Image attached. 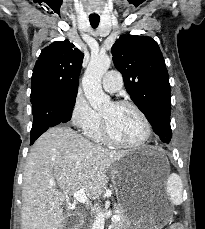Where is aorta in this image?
Instances as JSON below:
<instances>
[{
  "label": "aorta",
  "mask_w": 205,
  "mask_h": 229,
  "mask_svg": "<svg viewBox=\"0 0 205 229\" xmlns=\"http://www.w3.org/2000/svg\"><path fill=\"white\" fill-rule=\"evenodd\" d=\"M111 59L108 55L93 56L84 73L82 88L92 108L99 110L110 103V97L106 95L101 86V80L109 69ZM105 214L99 212L95 217L92 229H104Z\"/></svg>",
  "instance_id": "obj_1"
}]
</instances>
